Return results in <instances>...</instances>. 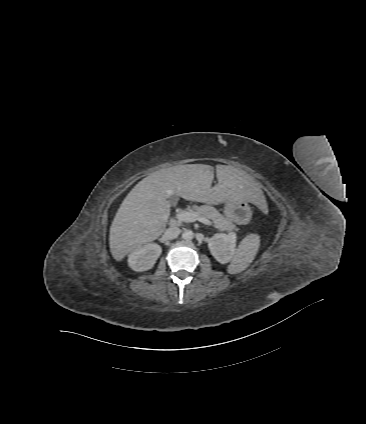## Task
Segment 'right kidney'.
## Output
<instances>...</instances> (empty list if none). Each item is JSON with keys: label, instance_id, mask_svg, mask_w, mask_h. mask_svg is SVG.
Masks as SVG:
<instances>
[{"label": "right kidney", "instance_id": "obj_1", "mask_svg": "<svg viewBox=\"0 0 366 424\" xmlns=\"http://www.w3.org/2000/svg\"><path fill=\"white\" fill-rule=\"evenodd\" d=\"M162 253L156 243H149L132 251L128 257L129 267L137 272L151 269Z\"/></svg>", "mask_w": 366, "mask_h": 424}]
</instances>
